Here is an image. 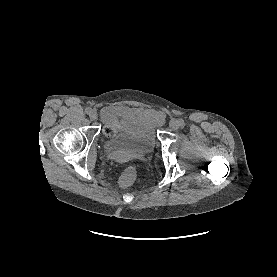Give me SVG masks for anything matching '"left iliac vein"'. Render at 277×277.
Segmentation results:
<instances>
[{"label":"left iliac vein","instance_id":"left-iliac-vein-1","mask_svg":"<svg viewBox=\"0 0 277 277\" xmlns=\"http://www.w3.org/2000/svg\"><path fill=\"white\" fill-rule=\"evenodd\" d=\"M169 126L173 130H177L180 127V121L177 119H172L169 123Z\"/></svg>","mask_w":277,"mask_h":277}]
</instances>
